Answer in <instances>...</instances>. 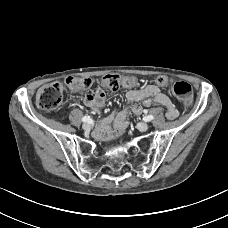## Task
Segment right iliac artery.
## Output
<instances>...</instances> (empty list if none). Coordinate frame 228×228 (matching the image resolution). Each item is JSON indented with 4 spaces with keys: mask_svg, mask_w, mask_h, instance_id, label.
I'll use <instances>...</instances> for the list:
<instances>
[{
    "mask_svg": "<svg viewBox=\"0 0 228 228\" xmlns=\"http://www.w3.org/2000/svg\"><path fill=\"white\" fill-rule=\"evenodd\" d=\"M90 120V117L89 116H84L83 118H82V121L83 122H88Z\"/></svg>",
    "mask_w": 228,
    "mask_h": 228,
    "instance_id": "obj_1",
    "label": "right iliac artery"
}]
</instances>
